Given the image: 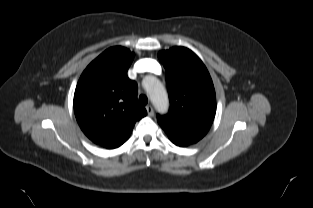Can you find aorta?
Returning a JSON list of instances; mask_svg holds the SVG:
<instances>
[{
    "instance_id": "1",
    "label": "aorta",
    "mask_w": 313,
    "mask_h": 208,
    "mask_svg": "<svg viewBox=\"0 0 313 208\" xmlns=\"http://www.w3.org/2000/svg\"><path fill=\"white\" fill-rule=\"evenodd\" d=\"M145 82L147 92L155 109L160 113L167 112L169 108V99L164 86L154 76H147Z\"/></svg>"
}]
</instances>
